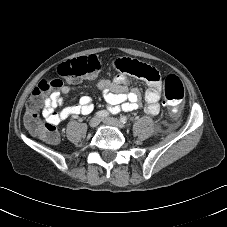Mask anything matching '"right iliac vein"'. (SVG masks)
I'll list each match as a JSON object with an SVG mask.
<instances>
[{
  "label": "right iliac vein",
  "mask_w": 227,
  "mask_h": 227,
  "mask_svg": "<svg viewBox=\"0 0 227 227\" xmlns=\"http://www.w3.org/2000/svg\"><path fill=\"white\" fill-rule=\"evenodd\" d=\"M99 122H100V119H99L98 117H93V118L89 121V126H90L91 128H94V127L98 126Z\"/></svg>",
  "instance_id": "1"
}]
</instances>
